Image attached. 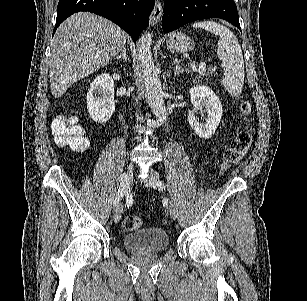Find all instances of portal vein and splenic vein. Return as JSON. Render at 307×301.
Returning a JSON list of instances; mask_svg holds the SVG:
<instances>
[{
	"mask_svg": "<svg viewBox=\"0 0 307 301\" xmlns=\"http://www.w3.org/2000/svg\"><path fill=\"white\" fill-rule=\"evenodd\" d=\"M194 70H197V72H204V70H206V62H200Z\"/></svg>",
	"mask_w": 307,
	"mask_h": 301,
	"instance_id": "18ae733b",
	"label": "portal vein and splenic vein"
}]
</instances>
